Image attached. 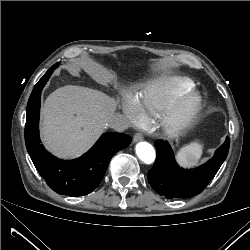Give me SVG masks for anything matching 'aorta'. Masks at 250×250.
<instances>
[{
    "label": "aorta",
    "mask_w": 250,
    "mask_h": 250,
    "mask_svg": "<svg viewBox=\"0 0 250 250\" xmlns=\"http://www.w3.org/2000/svg\"><path fill=\"white\" fill-rule=\"evenodd\" d=\"M136 154L146 164L153 163L156 157L153 146L147 142H139L136 145Z\"/></svg>",
    "instance_id": "1"
}]
</instances>
